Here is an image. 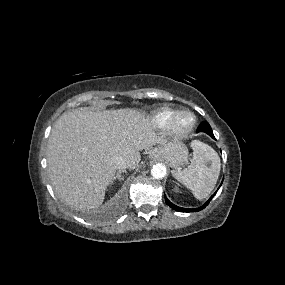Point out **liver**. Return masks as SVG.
<instances>
[{"label":"liver","instance_id":"obj_1","mask_svg":"<svg viewBox=\"0 0 285 285\" xmlns=\"http://www.w3.org/2000/svg\"><path fill=\"white\" fill-rule=\"evenodd\" d=\"M166 142L155 133L149 118L136 109L66 112L49 138L51 184L67 205L96 210L115 177L114 158H125L128 168L134 169L141 159L139 151Z\"/></svg>","mask_w":285,"mask_h":285}]
</instances>
